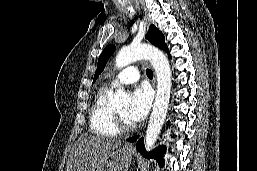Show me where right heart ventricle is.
Wrapping results in <instances>:
<instances>
[{"mask_svg":"<svg viewBox=\"0 0 257 171\" xmlns=\"http://www.w3.org/2000/svg\"><path fill=\"white\" fill-rule=\"evenodd\" d=\"M112 88L102 87L96 94L90 114L89 124L91 130L100 136H117L120 131L115 123L114 110L109 104Z\"/></svg>","mask_w":257,"mask_h":171,"instance_id":"right-heart-ventricle-1","label":"right heart ventricle"}]
</instances>
